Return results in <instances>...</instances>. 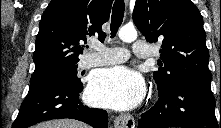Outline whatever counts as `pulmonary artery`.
I'll list each match as a JSON object with an SVG mask.
<instances>
[{
	"mask_svg": "<svg viewBox=\"0 0 221 128\" xmlns=\"http://www.w3.org/2000/svg\"><path fill=\"white\" fill-rule=\"evenodd\" d=\"M132 53L125 48L105 47L101 44L92 45L89 51L80 61L81 68L112 65L126 60L129 56L134 58H148L152 55L153 46L145 40H138L132 43Z\"/></svg>",
	"mask_w": 221,
	"mask_h": 128,
	"instance_id": "obj_1",
	"label": "pulmonary artery"
}]
</instances>
